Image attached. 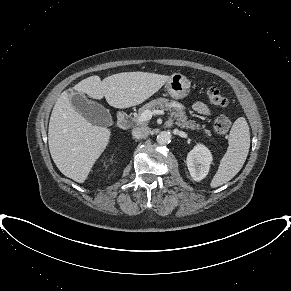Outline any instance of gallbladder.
Segmentation results:
<instances>
[{"instance_id":"bac80fb5","label":"gallbladder","mask_w":291,"mask_h":291,"mask_svg":"<svg viewBox=\"0 0 291 291\" xmlns=\"http://www.w3.org/2000/svg\"><path fill=\"white\" fill-rule=\"evenodd\" d=\"M70 101L73 107L91 124L107 127L112 124L109 110L103 105L89 101L84 94L69 89Z\"/></svg>"}]
</instances>
